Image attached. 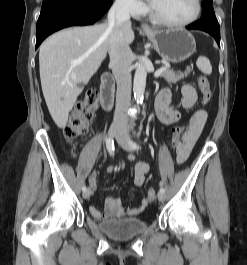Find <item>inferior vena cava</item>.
<instances>
[{
    "label": "inferior vena cava",
    "mask_w": 247,
    "mask_h": 265,
    "mask_svg": "<svg viewBox=\"0 0 247 265\" xmlns=\"http://www.w3.org/2000/svg\"><path fill=\"white\" fill-rule=\"evenodd\" d=\"M130 0H116L108 12L110 68L117 82L116 110L113 124L127 127L125 110L131 101L132 51L124 38V30L131 27Z\"/></svg>",
    "instance_id": "inferior-vena-cava-1"
}]
</instances>
